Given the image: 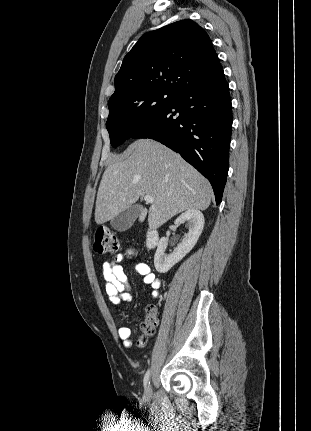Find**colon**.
I'll list each match as a JSON object with an SVG mask.
<instances>
[{
    "instance_id": "1",
    "label": "colon",
    "mask_w": 311,
    "mask_h": 431,
    "mask_svg": "<svg viewBox=\"0 0 311 431\" xmlns=\"http://www.w3.org/2000/svg\"><path fill=\"white\" fill-rule=\"evenodd\" d=\"M120 244L117 236L108 228L100 227L95 232L94 250L98 254L115 253L119 250ZM130 255L134 250L129 251ZM158 325V310L151 305L147 308L144 320L139 326V343L144 344L149 336L154 334Z\"/></svg>"
}]
</instances>
